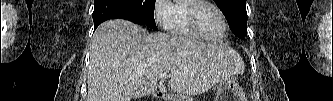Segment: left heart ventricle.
<instances>
[{
	"label": "left heart ventricle",
	"mask_w": 333,
	"mask_h": 101,
	"mask_svg": "<svg viewBox=\"0 0 333 101\" xmlns=\"http://www.w3.org/2000/svg\"><path fill=\"white\" fill-rule=\"evenodd\" d=\"M198 22L205 35L218 38L224 32V24L220 15L211 7L203 6L198 12Z\"/></svg>",
	"instance_id": "left-heart-ventricle-1"
}]
</instances>
